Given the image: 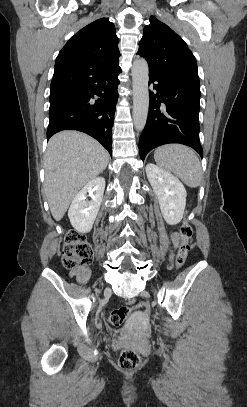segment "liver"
<instances>
[{
  "mask_svg": "<svg viewBox=\"0 0 247 407\" xmlns=\"http://www.w3.org/2000/svg\"><path fill=\"white\" fill-rule=\"evenodd\" d=\"M109 154L92 137L62 131L48 142L45 153V193L53 218L60 221L77 192L102 173Z\"/></svg>",
  "mask_w": 247,
  "mask_h": 407,
  "instance_id": "6515ba94",
  "label": "liver"
}]
</instances>
